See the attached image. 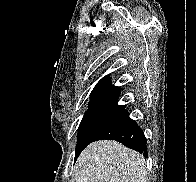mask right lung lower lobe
<instances>
[{"instance_id":"right-lung-lower-lobe-1","label":"right lung lower lobe","mask_w":196,"mask_h":182,"mask_svg":"<svg viewBox=\"0 0 196 182\" xmlns=\"http://www.w3.org/2000/svg\"><path fill=\"white\" fill-rule=\"evenodd\" d=\"M103 139L116 140L147 157V140L145 135L138 124L130 119L128 115L104 129L92 142ZM79 154H77L75 158H77Z\"/></svg>"}]
</instances>
